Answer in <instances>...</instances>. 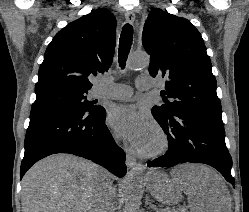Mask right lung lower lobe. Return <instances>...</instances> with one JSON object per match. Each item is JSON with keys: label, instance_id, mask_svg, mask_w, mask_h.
<instances>
[{"label": "right lung lower lobe", "instance_id": "98d812e1", "mask_svg": "<svg viewBox=\"0 0 249 212\" xmlns=\"http://www.w3.org/2000/svg\"><path fill=\"white\" fill-rule=\"evenodd\" d=\"M105 112L101 106L93 113L68 108L31 109L20 179L38 160L56 153L81 156L123 177L126 156L105 125Z\"/></svg>", "mask_w": 249, "mask_h": 212}]
</instances>
